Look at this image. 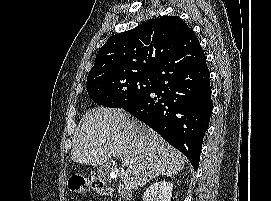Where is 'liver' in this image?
<instances>
[{"mask_svg": "<svg viewBox=\"0 0 271 201\" xmlns=\"http://www.w3.org/2000/svg\"><path fill=\"white\" fill-rule=\"evenodd\" d=\"M111 157L130 159L127 170H117L128 190L142 187L159 175L174 176L185 164L180 152L123 109L94 108L83 117L71 159L101 166Z\"/></svg>", "mask_w": 271, "mask_h": 201, "instance_id": "6515ba94", "label": "liver"}]
</instances>
